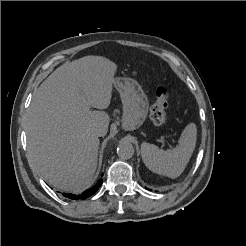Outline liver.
Instances as JSON below:
<instances>
[{"mask_svg":"<svg viewBox=\"0 0 246 246\" xmlns=\"http://www.w3.org/2000/svg\"><path fill=\"white\" fill-rule=\"evenodd\" d=\"M116 71L112 61L86 56L58 67L34 92L25 122L28 155L53 187L80 193L91 186L100 143L94 130L107 133L102 110L110 105Z\"/></svg>","mask_w":246,"mask_h":246,"instance_id":"liver-1","label":"liver"}]
</instances>
